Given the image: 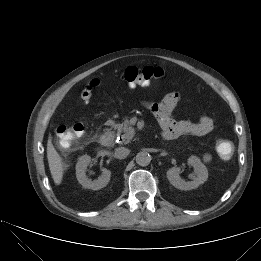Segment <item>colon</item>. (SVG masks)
I'll return each mask as SVG.
<instances>
[{
    "label": "colon",
    "instance_id": "obj_1",
    "mask_svg": "<svg viewBox=\"0 0 261 261\" xmlns=\"http://www.w3.org/2000/svg\"><path fill=\"white\" fill-rule=\"evenodd\" d=\"M164 76V71L160 67H143L135 66L127 67L123 70L119 78L133 85H148L151 82L160 80ZM100 85L99 79L91 80L81 91V98L88 102L94 93L96 87ZM56 135L62 147H69L80 139L85 132V127L82 123H76L71 126L61 125L56 129ZM216 151L224 160H230L234 155V145L227 139H220L216 143Z\"/></svg>",
    "mask_w": 261,
    "mask_h": 261
}]
</instances>
